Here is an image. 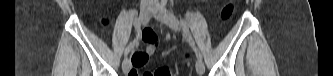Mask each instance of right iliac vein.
Instances as JSON below:
<instances>
[{
	"label": "right iliac vein",
	"mask_w": 333,
	"mask_h": 76,
	"mask_svg": "<svg viewBox=\"0 0 333 76\" xmlns=\"http://www.w3.org/2000/svg\"><path fill=\"white\" fill-rule=\"evenodd\" d=\"M151 16V7L149 5H142L140 8V23L146 24L150 20ZM131 64L128 58H125L122 63L123 72H127Z\"/></svg>",
	"instance_id": "63e3f726"
}]
</instances>
